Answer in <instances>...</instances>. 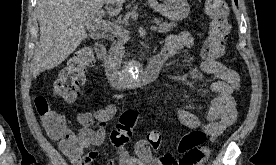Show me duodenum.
Segmentation results:
<instances>
[{
  "label": "duodenum",
  "mask_w": 276,
  "mask_h": 165,
  "mask_svg": "<svg viewBox=\"0 0 276 165\" xmlns=\"http://www.w3.org/2000/svg\"><path fill=\"white\" fill-rule=\"evenodd\" d=\"M94 49L97 58L102 64L110 85L115 89H122L127 87L132 82L131 77L128 75V73L121 71L112 64V62L107 57L106 46L103 43L98 42L95 44ZM164 63V57L161 55L156 57L144 67L143 71L140 72L139 78L143 81L156 79L163 69Z\"/></svg>",
  "instance_id": "duodenum-1"
}]
</instances>
